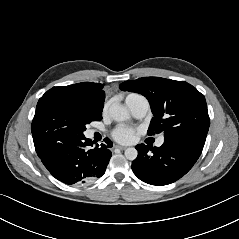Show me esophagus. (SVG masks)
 <instances>
[{
    "instance_id": "34e87169",
    "label": "esophagus",
    "mask_w": 239,
    "mask_h": 239,
    "mask_svg": "<svg viewBox=\"0 0 239 239\" xmlns=\"http://www.w3.org/2000/svg\"><path fill=\"white\" fill-rule=\"evenodd\" d=\"M115 148H118L120 150H125L127 147L121 146V145H116Z\"/></svg>"
}]
</instances>
